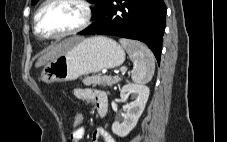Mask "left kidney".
<instances>
[{
	"label": "left kidney",
	"instance_id": "left-kidney-1",
	"mask_svg": "<svg viewBox=\"0 0 227 142\" xmlns=\"http://www.w3.org/2000/svg\"><path fill=\"white\" fill-rule=\"evenodd\" d=\"M150 90L142 84H126L120 91V97L127 101L129 95L134 99L133 102L127 103V111L123 122L112 124V132L119 137L127 136L136 126L142 115L149 97Z\"/></svg>",
	"mask_w": 227,
	"mask_h": 142
}]
</instances>
